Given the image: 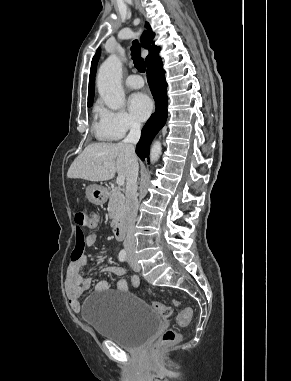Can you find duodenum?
I'll use <instances>...</instances> for the list:
<instances>
[{
  "instance_id": "duodenum-1",
  "label": "duodenum",
  "mask_w": 291,
  "mask_h": 381,
  "mask_svg": "<svg viewBox=\"0 0 291 381\" xmlns=\"http://www.w3.org/2000/svg\"><path fill=\"white\" fill-rule=\"evenodd\" d=\"M114 234L117 240L122 241L126 235V224L124 220L118 221L114 226Z\"/></svg>"
}]
</instances>
